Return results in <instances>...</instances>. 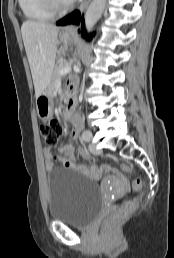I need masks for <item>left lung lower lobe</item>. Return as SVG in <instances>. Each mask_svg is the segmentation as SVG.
<instances>
[{"label":"left lung lower lobe","mask_w":174,"mask_h":258,"mask_svg":"<svg viewBox=\"0 0 174 258\" xmlns=\"http://www.w3.org/2000/svg\"><path fill=\"white\" fill-rule=\"evenodd\" d=\"M80 20L82 21V24H81V33H82V36L84 37L85 36V24H84V18L80 16V13L78 11H75L71 14H69L68 16L64 17L63 19L59 20L57 22V25H66V24H69V23H74V24H79ZM89 39V38H87Z\"/></svg>","instance_id":"1"}]
</instances>
